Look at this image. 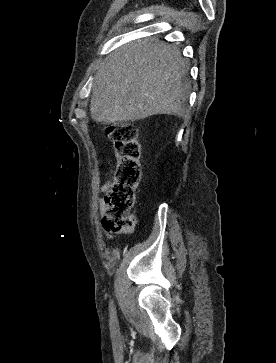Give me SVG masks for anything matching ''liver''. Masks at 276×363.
<instances>
[{
	"label": "liver",
	"instance_id": "obj_1",
	"mask_svg": "<svg viewBox=\"0 0 276 363\" xmlns=\"http://www.w3.org/2000/svg\"><path fill=\"white\" fill-rule=\"evenodd\" d=\"M180 51L141 39L112 52L98 69L90 114L96 122L136 121L157 114L184 117L190 84Z\"/></svg>",
	"mask_w": 276,
	"mask_h": 363
}]
</instances>
